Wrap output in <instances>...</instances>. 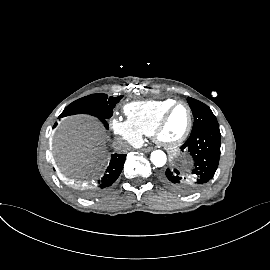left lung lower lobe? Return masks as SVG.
<instances>
[{
	"mask_svg": "<svg viewBox=\"0 0 270 270\" xmlns=\"http://www.w3.org/2000/svg\"><path fill=\"white\" fill-rule=\"evenodd\" d=\"M221 134L219 126H207L191 133L181 147L192 159L190 173L174 167L166 169L163 174L164 183L171 189L181 193L199 190L214 176L220 159Z\"/></svg>",
	"mask_w": 270,
	"mask_h": 270,
	"instance_id": "1",
	"label": "left lung lower lobe"
}]
</instances>
